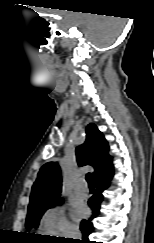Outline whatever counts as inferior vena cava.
Listing matches in <instances>:
<instances>
[{"label": "inferior vena cava", "mask_w": 154, "mask_h": 243, "mask_svg": "<svg viewBox=\"0 0 154 243\" xmlns=\"http://www.w3.org/2000/svg\"><path fill=\"white\" fill-rule=\"evenodd\" d=\"M68 236L72 239H81V233L80 231L75 228V227H71L68 231Z\"/></svg>", "instance_id": "obj_1"}]
</instances>
